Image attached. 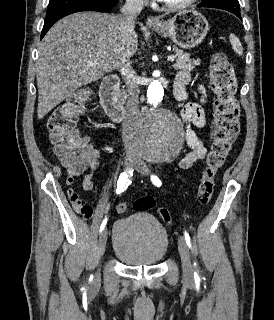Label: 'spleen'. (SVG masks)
Instances as JSON below:
<instances>
[{"mask_svg":"<svg viewBox=\"0 0 274 320\" xmlns=\"http://www.w3.org/2000/svg\"><path fill=\"white\" fill-rule=\"evenodd\" d=\"M229 40L231 42V46H232L235 54H238V56H242L243 48L241 46V42H240L239 38H236V36H234V34H230Z\"/></svg>","mask_w":274,"mask_h":320,"instance_id":"obj_1","label":"spleen"}]
</instances>
